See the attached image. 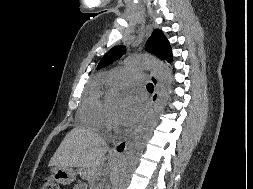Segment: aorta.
<instances>
[{
	"label": "aorta",
	"mask_w": 253,
	"mask_h": 189,
	"mask_svg": "<svg viewBox=\"0 0 253 189\" xmlns=\"http://www.w3.org/2000/svg\"><path fill=\"white\" fill-rule=\"evenodd\" d=\"M126 65L130 68H152L160 82V93L159 100L149 112L139 132L129 144L122 164L117 173L113 176L111 189H123L125 179L136 167L143 149L151 138L158 124L159 117L165 109L172 84V75L168 66L153 57L132 56L126 60ZM105 99L106 103L112 107H119L123 104V95L115 89H109Z\"/></svg>",
	"instance_id": "1"
}]
</instances>
